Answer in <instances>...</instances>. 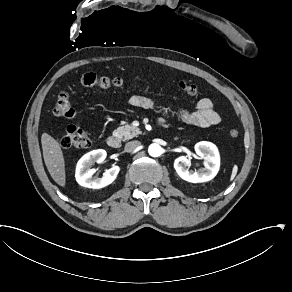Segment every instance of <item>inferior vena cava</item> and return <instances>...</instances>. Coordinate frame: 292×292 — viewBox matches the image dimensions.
<instances>
[{"mask_svg":"<svg viewBox=\"0 0 292 292\" xmlns=\"http://www.w3.org/2000/svg\"><path fill=\"white\" fill-rule=\"evenodd\" d=\"M141 145L140 141H130L128 143H126L125 145V151L126 152H132L133 150H135L137 147H139Z\"/></svg>","mask_w":292,"mask_h":292,"instance_id":"inferior-vena-cava-1","label":"inferior vena cava"}]
</instances>
